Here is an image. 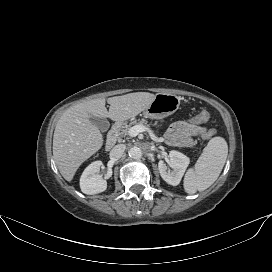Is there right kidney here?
Here are the masks:
<instances>
[{
    "label": "right kidney",
    "mask_w": 272,
    "mask_h": 272,
    "mask_svg": "<svg viewBox=\"0 0 272 272\" xmlns=\"http://www.w3.org/2000/svg\"><path fill=\"white\" fill-rule=\"evenodd\" d=\"M102 161L91 163L82 173L80 178V188L85 194H97L107 189V182L98 172L102 166Z\"/></svg>",
    "instance_id": "right-kidney-1"
}]
</instances>
